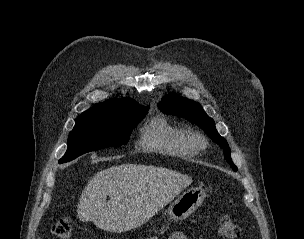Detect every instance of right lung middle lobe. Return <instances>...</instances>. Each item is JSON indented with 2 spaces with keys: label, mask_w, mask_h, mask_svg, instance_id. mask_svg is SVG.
<instances>
[{
  "label": "right lung middle lobe",
  "mask_w": 304,
  "mask_h": 239,
  "mask_svg": "<svg viewBox=\"0 0 304 239\" xmlns=\"http://www.w3.org/2000/svg\"><path fill=\"white\" fill-rule=\"evenodd\" d=\"M147 108H130L116 115L80 116L68 137V149L59 163L110 146L125 145L133 128L146 116Z\"/></svg>",
  "instance_id": "obj_1"
}]
</instances>
